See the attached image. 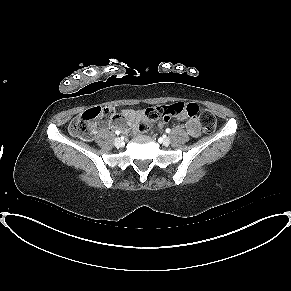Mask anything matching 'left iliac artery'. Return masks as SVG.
Listing matches in <instances>:
<instances>
[{"mask_svg": "<svg viewBox=\"0 0 291 291\" xmlns=\"http://www.w3.org/2000/svg\"><path fill=\"white\" fill-rule=\"evenodd\" d=\"M170 131H171V130H170L169 128L166 129V133H170Z\"/></svg>", "mask_w": 291, "mask_h": 291, "instance_id": "obj_1", "label": "left iliac artery"}]
</instances>
